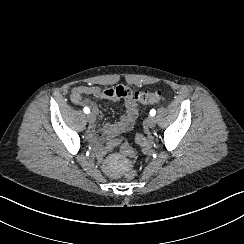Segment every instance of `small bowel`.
I'll return each instance as SVG.
<instances>
[{"instance_id":"small-bowel-1","label":"small bowel","mask_w":244,"mask_h":244,"mask_svg":"<svg viewBox=\"0 0 244 244\" xmlns=\"http://www.w3.org/2000/svg\"><path fill=\"white\" fill-rule=\"evenodd\" d=\"M85 94H91L99 99H104V91L98 86H77L70 93V101L74 105L90 107L94 115L100 118L101 113L96 105L92 101L83 99ZM124 108L125 113L117 122L106 124L103 127L102 132L97 135L98 142L108 141L107 144L112 143L113 145H117L119 140L116 137L132 128L139 115L138 105L132 96H128L124 100Z\"/></svg>"}]
</instances>
